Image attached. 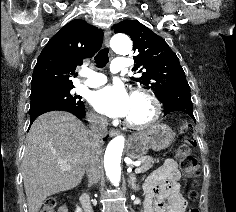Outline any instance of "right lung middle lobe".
Segmentation results:
<instances>
[{
  "label": "right lung middle lobe",
  "mask_w": 236,
  "mask_h": 212,
  "mask_svg": "<svg viewBox=\"0 0 236 212\" xmlns=\"http://www.w3.org/2000/svg\"><path fill=\"white\" fill-rule=\"evenodd\" d=\"M73 87H51L31 92V101L44 100L66 105L84 106V103L80 100L81 96L71 94Z\"/></svg>",
  "instance_id": "right-lung-middle-lobe-1"
}]
</instances>
